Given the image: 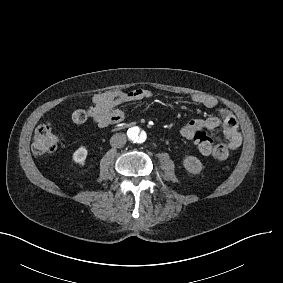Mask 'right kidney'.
<instances>
[{
	"mask_svg": "<svg viewBox=\"0 0 283 283\" xmlns=\"http://www.w3.org/2000/svg\"><path fill=\"white\" fill-rule=\"evenodd\" d=\"M87 151L85 148L81 147L74 153V159L77 162H83L85 160Z\"/></svg>",
	"mask_w": 283,
	"mask_h": 283,
	"instance_id": "1",
	"label": "right kidney"
}]
</instances>
